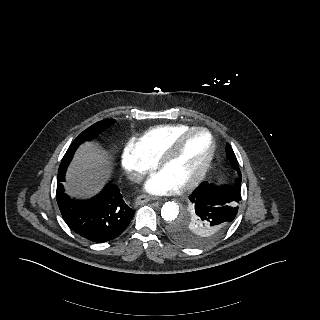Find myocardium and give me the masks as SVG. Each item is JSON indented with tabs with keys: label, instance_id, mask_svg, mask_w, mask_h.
Listing matches in <instances>:
<instances>
[{
	"label": "myocardium",
	"instance_id": "1",
	"mask_svg": "<svg viewBox=\"0 0 320 320\" xmlns=\"http://www.w3.org/2000/svg\"><path fill=\"white\" fill-rule=\"evenodd\" d=\"M195 134H205L208 136L209 150L198 172L192 178L178 186V189L182 191L189 190L197 186L205 178L211 166L216 150V143L211 132L203 127H192L188 129L187 131L178 135L157 160L158 169L162 170L170 161H172L177 156L184 142Z\"/></svg>",
	"mask_w": 320,
	"mask_h": 320
}]
</instances>
